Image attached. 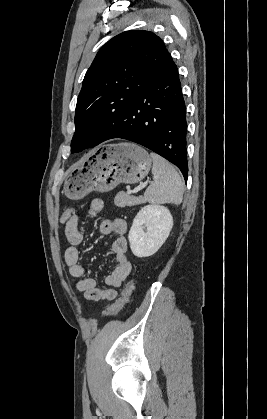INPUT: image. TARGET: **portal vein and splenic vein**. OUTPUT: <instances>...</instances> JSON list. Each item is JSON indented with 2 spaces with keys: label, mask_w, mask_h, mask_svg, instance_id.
I'll return each instance as SVG.
<instances>
[{
  "label": "portal vein and splenic vein",
  "mask_w": 267,
  "mask_h": 419,
  "mask_svg": "<svg viewBox=\"0 0 267 419\" xmlns=\"http://www.w3.org/2000/svg\"><path fill=\"white\" fill-rule=\"evenodd\" d=\"M147 182H145V183H142L137 189H135V190H130V189H128L127 190V193L128 194H132V193H136V192H138L140 189H142V188H144L145 186H147Z\"/></svg>",
  "instance_id": "obj_1"
}]
</instances>
